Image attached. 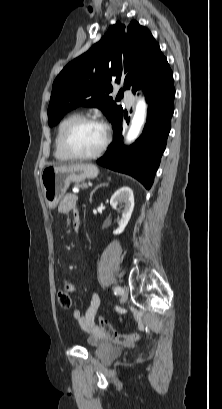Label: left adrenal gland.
Returning <instances> with one entry per match:
<instances>
[{
  "label": "left adrenal gland",
  "instance_id": "obj_1",
  "mask_svg": "<svg viewBox=\"0 0 222 409\" xmlns=\"http://www.w3.org/2000/svg\"><path fill=\"white\" fill-rule=\"evenodd\" d=\"M105 185H106L105 183L99 184L98 186H96V187L92 190V192L90 193V198H89L90 203H92V197H93V194L95 193V191H96L98 188H100V187H102V186H105Z\"/></svg>",
  "mask_w": 222,
  "mask_h": 409
}]
</instances>
